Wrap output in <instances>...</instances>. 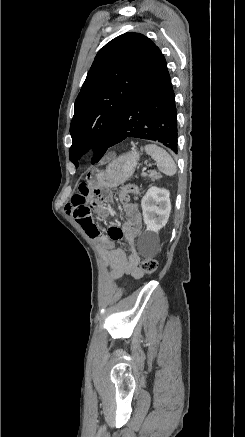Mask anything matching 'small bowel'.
Segmentation results:
<instances>
[{
    "mask_svg": "<svg viewBox=\"0 0 245 437\" xmlns=\"http://www.w3.org/2000/svg\"><path fill=\"white\" fill-rule=\"evenodd\" d=\"M91 188L90 183H77L78 193L67 204L66 212L96 242L106 266L111 269V279L113 281H120L124 276L140 278L142 276V271L139 268L140 257L135 249V240L142 228V215L139 206L132 202L126 203L123 206L126 219L122 227L111 225L108 228L107 235L102 234L92 220V204L85 203L86 196ZM104 197L108 198V195L104 194ZM93 205H98V202H94ZM107 216L108 211H104L100 215L102 220H105ZM122 240L131 245L132 251L130 254L115 246V242Z\"/></svg>",
    "mask_w": 245,
    "mask_h": 437,
    "instance_id": "1",
    "label": "small bowel"
}]
</instances>
